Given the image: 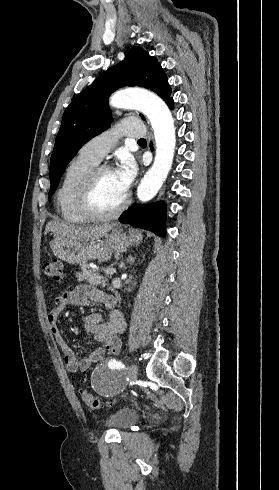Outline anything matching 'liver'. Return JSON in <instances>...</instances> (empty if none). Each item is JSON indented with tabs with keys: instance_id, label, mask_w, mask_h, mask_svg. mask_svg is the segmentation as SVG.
Instances as JSON below:
<instances>
[{
	"instance_id": "1",
	"label": "liver",
	"mask_w": 279,
	"mask_h": 490,
	"mask_svg": "<svg viewBox=\"0 0 279 490\" xmlns=\"http://www.w3.org/2000/svg\"><path fill=\"white\" fill-rule=\"evenodd\" d=\"M114 224H103V226H88V228H79V226H71L64 224L60 220H52L48 222L45 228V236L48 232L57 234L60 238H68L73 242H90V240H99L105 236L107 232L112 230Z\"/></svg>"
}]
</instances>
